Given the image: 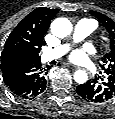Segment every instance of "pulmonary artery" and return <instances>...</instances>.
Wrapping results in <instances>:
<instances>
[{
	"label": "pulmonary artery",
	"instance_id": "e3ab8cb5",
	"mask_svg": "<svg viewBox=\"0 0 115 119\" xmlns=\"http://www.w3.org/2000/svg\"><path fill=\"white\" fill-rule=\"evenodd\" d=\"M89 32V27L86 23H81L75 30L74 32V36H73V39L74 41H79L83 38L86 37V35L88 34ZM69 48V45L67 44H64V45H61L59 46L58 48H56L54 50V53L53 55L54 56H60L62 55L64 52H66Z\"/></svg>",
	"mask_w": 115,
	"mask_h": 119
}]
</instances>
